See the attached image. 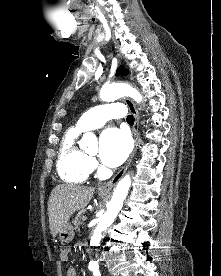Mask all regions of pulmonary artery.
<instances>
[{
    "instance_id": "1",
    "label": "pulmonary artery",
    "mask_w": 221,
    "mask_h": 276,
    "mask_svg": "<svg viewBox=\"0 0 221 276\" xmlns=\"http://www.w3.org/2000/svg\"><path fill=\"white\" fill-rule=\"evenodd\" d=\"M125 114L126 109L120 103L100 105L84 113L78 120L76 128L80 131L96 129L103 126L109 119L123 118Z\"/></svg>"
}]
</instances>
